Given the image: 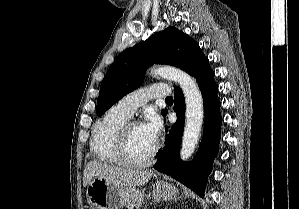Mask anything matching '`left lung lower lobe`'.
I'll list each match as a JSON object with an SVG mask.
<instances>
[{
	"label": "left lung lower lobe",
	"instance_id": "0a47b994",
	"mask_svg": "<svg viewBox=\"0 0 299 209\" xmlns=\"http://www.w3.org/2000/svg\"><path fill=\"white\" fill-rule=\"evenodd\" d=\"M193 76L196 78L202 92L205 112L204 133L198 152L191 162L179 161L180 141L185 120V100L181 89L175 87L174 110L177 115V122L169 130L165 149L157 154V163L154 167L156 170L180 181L203 197L207 177L218 153L222 117L220 102L217 97L218 88L208 59L197 69Z\"/></svg>",
	"mask_w": 299,
	"mask_h": 209
}]
</instances>
